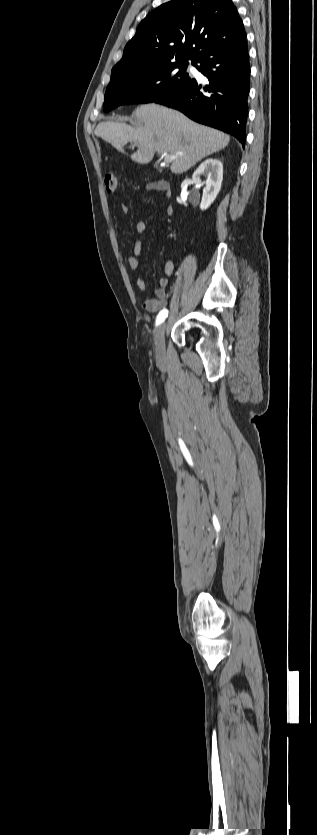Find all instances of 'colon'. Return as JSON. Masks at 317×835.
I'll list each match as a JSON object with an SVG mask.
<instances>
[{"label":"colon","instance_id":"5ec220e1","mask_svg":"<svg viewBox=\"0 0 317 835\" xmlns=\"http://www.w3.org/2000/svg\"><path fill=\"white\" fill-rule=\"evenodd\" d=\"M105 186L107 192L113 193L120 187V180L115 174H107L105 176Z\"/></svg>","mask_w":317,"mask_h":835}]
</instances>
